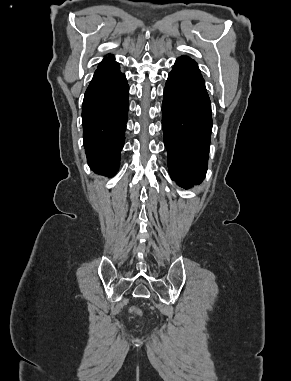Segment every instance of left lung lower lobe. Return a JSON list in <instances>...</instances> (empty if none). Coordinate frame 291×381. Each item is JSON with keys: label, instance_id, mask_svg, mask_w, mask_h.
Returning <instances> with one entry per match:
<instances>
[{"label": "left lung lower lobe", "instance_id": "obj_1", "mask_svg": "<svg viewBox=\"0 0 291 381\" xmlns=\"http://www.w3.org/2000/svg\"><path fill=\"white\" fill-rule=\"evenodd\" d=\"M162 113L172 180L184 187L201 182L208 164L211 102L198 65L188 56L179 57L168 76Z\"/></svg>", "mask_w": 291, "mask_h": 381}]
</instances>
